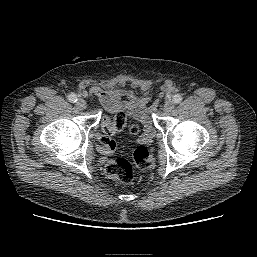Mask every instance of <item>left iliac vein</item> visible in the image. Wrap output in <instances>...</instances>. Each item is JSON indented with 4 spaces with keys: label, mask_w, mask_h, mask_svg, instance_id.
I'll return each mask as SVG.
<instances>
[{
    "label": "left iliac vein",
    "mask_w": 257,
    "mask_h": 257,
    "mask_svg": "<svg viewBox=\"0 0 257 257\" xmlns=\"http://www.w3.org/2000/svg\"><path fill=\"white\" fill-rule=\"evenodd\" d=\"M173 109H174V102H172V101L166 102L163 107V111L165 113H170Z\"/></svg>",
    "instance_id": "1"
}]
</instances>
